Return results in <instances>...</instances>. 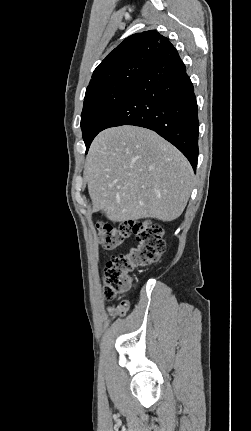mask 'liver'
<instances>
[{
  "label": "liver",
  "mask_w": 251,
  "mask_h": 431,
  "mask_svg": "<svg viewBox=\"0 0 251 431\" xmlns=\"http://www.w3.org/2000/svg\"><path fill=\"white\" fill-rule=\"evenodd\" d=\"M84 176L92 211H102L113 222L178 218L194 181L192 167L178 149L149 129L127 125L95 137Z\"/></svg>",
  "instance_id": "obj_1"
}]
</instances>
